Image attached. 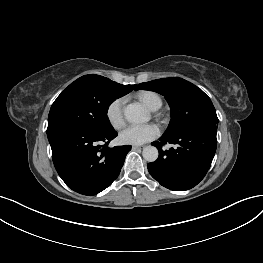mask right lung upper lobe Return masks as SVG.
I'll return each mask as SVG.
<instances>
[{"label": "right lung upper lobe", "mask_w": 263, "mask_h": 263, "mask_svg": "<svg viewBox=\"0 0 263 263\" xmlns=\"http://www.w3.org/2000/svg\"><path fill=\"white\" fill-rule=\"evenodd\" d=\"M80 78L81 79H96V80L108 85L114 91H116L117 93H119L122 96L131 92L136 87V85H121V84H118L114 81H111L110 79H107V78L99 76V75H94V74L82 76Z\"/></svg>", "instance_id": "1"}]
</instances>
